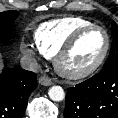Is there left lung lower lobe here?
I'll return each mask as SVG.
<instances>
[{"mask_svg": "<svg viewBox=\"0 0 118 118\" xmlns=\"http://www.w3.org/2000/svg\"><path fill=\"white\" fill-rule=\"evenodd\" d=\"M64 118H118V65L69 88Z\"/></svg>", "mask_w": 118, "mask_h": 118, "instance_id": "obj_1", "label": "left lung lower lobe"}]
</instances>
